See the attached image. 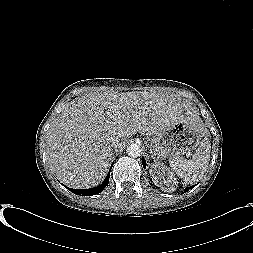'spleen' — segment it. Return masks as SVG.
<instances>
[{
    "label": "spleen",
    "instance_id": "spleen-1",
    "mask_svg": "<svg viewBox=\"0 0 253 253\" xmlns=\"http://www.w3.org/2000/svg\"><path fill=\"white\" fill-rule=\"evenodd\" d=\"M204 139L193 154L192 159L175 157L169 160L173 172H175L185 182L194 183L201 178L207 170L210 160V141L208 140V130L202 124Z\"/></svg>",
    "mask_w": 253,
    "mask_h": 253
}]
</instances>
